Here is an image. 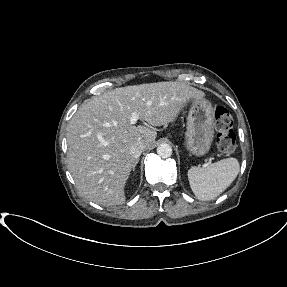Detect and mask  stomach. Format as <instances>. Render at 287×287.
<instances>
[{"label":"stomach","instance_id":"1","mask_svg":"<svg viewBox=\"0 0 287 287\" xmlns=\"http://www.w3.org/2000/svg\"><path fill=\"white\" fill-rule=\"evenodd\" d=\"M215 128L214 108L206 99L192 101L184 146L195 156H204L210 150Z\"/></svg>","mask_w":287,"mask_h":287}]
</instances>
